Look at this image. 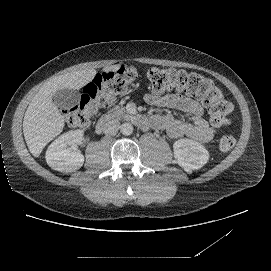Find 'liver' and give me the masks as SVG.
I'll return each mask as SVG.
<instances>
[{"label":"liver","mask_w":271,"mask_h":271,"mask_svg":"<svg viewBox=\"0 0 271 271\" xmlns=\"http://www.w3.org/2000/svg\"><path fill=\"white\" fill-rule=\"evenodd\" d=\"M120 65L103 68L104 72L117 71ZM96 70L86 68L51 78L37 92L28 105L23 119V134L30 153L39 157L45 146L58 136L64 127V117L52 101L59 90H79L91 82Z\"/></svg>","instance_id":"6515ba94"}]
</instances>
